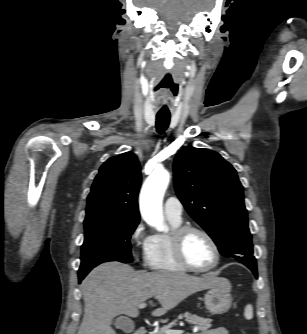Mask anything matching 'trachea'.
I'll return each instance as SVG.
<instances>
[{"mask_svg":"<svg viewBox=\"0 0 307 334\" xmlns=\"http://www.w3.org/2000/svg\"><path fill=\"white\" fill-rule=\"evenodd\" d=\"M170 123V115L158 114L156 116V129L159 134H163Z\"/></svg>","mask_w":307,"mask_h":334,"instance_id":"trachea-1","label":"trachea"}]
</instances>
